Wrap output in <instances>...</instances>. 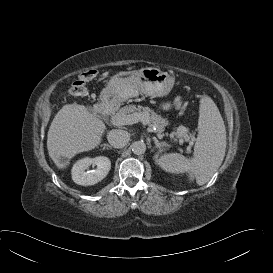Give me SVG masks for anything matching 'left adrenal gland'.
<instances>
[{"mask_svg":"<svg viewBox=\"0 0 273 273\" xmlns=\"http://www.w3.org/2000/svg\"><path fill=\"white\" fill-rule=\"evenodd\" d=\"M155 145H156V148L158 149V152L157 154L155 155V160L157 161V158L159 156V153L161 152V149L162 147L165 145L164 142H159L157 139H155Z\"/></svg>","mask_w":273,"mask_h":273,"instance_id":"a2214340","label":"left adrenal gland"}]
</instances>
